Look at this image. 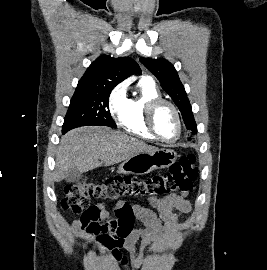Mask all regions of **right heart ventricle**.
<instances>
[{
	"label": "right heart ventricle",
	"mask_w": 267,
	"mask_h": 270,
	"mask_svg": "<svg viewBox=\"0 0 267 270\" xmlns=\"http://www.w3.org/2000/svg\"><path fill=\"white\" fill-rule=\"evenodd\" d=\"M140 95L128 99L122 115L120 126L128 133L147 141H155L145 125V110L147 104L156 98H161L160 91L149 78L139 81Z\"/></svg>",
	"instance_id": "obj_1"
}]
</instances>
